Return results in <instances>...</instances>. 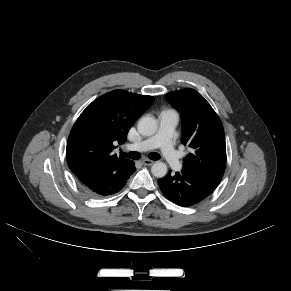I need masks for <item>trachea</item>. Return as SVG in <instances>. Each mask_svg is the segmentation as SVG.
I'll use <instances>...</instances> for the list:
<instances>
[{
	"mask_svg": "<svg viewBox=\"0 0 291 291\" xmlns=\"http://www.w3.org/2000/svg\"><path fill=\"white\" fill-rule=\"evenodd\" d=\"M123 156L127 157V158H130V159H133V160H138L140 159L141 155L139 152H129V153H124L122 152L121 153ZM148 157L151 159V160H159L160 159V155L156 152H152L148 155Z\"/></svg>",
	"mask_w": 291,
	"mask_h": 291,
	"instance_id": "trachea-1",
	"label": "trachea"
}]
</instances>
